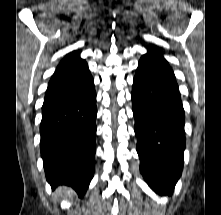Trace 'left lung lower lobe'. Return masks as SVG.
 <instances>
[{
    "label": "left lung lower lobe",
    "instance_id": "1",
    "mask_svg": "<svg viewBox=\"0 0 221 215\" xmlns=\"http://www.w3.org/2000/svg\"><path fill=\"white\" fill-rule=\"evenodd\" d=\"M132 108L140 171L153 191L171 195L183 169L184 109L175 75L156 48L139 60Z\"/></svg>",
    "mask_w": 221,
    "mask_h": 215
}]
</instances>
